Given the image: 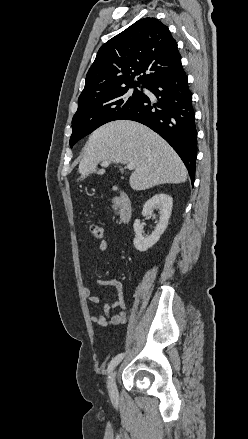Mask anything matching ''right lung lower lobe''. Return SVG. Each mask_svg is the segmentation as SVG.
Masks as SVG:
<instances>
[{"label": "right lung lower lobe", "mask_w": 248, "mask_h": 439, "mask_svg": "<svg viewBox=\"0 0 248 439\" xmlns=\"http://www.w3.org/2000/svg\"><path fill=\"white\" fill-rule=\"evenodd\" d=\"M157 98L143 97L118 120L140 122L163 137L184 162L192 184L195 179L197 131L192 94L181 66L159 77L147 87Z\"/></svg>", "instance_id": "98d812e1"}]
</instances>
